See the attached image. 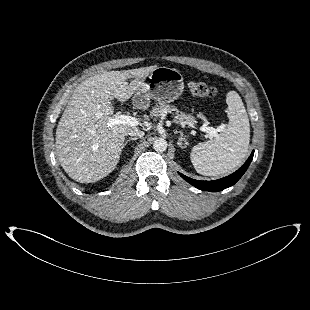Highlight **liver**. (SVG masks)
<instances>
[{"label": "liver", "instance_id": "1", "mask_svg": "<svg viewBox=\"0 0 310 310\" xmlns=\"http://www.w3.org/2000/svg\"><path fill=\"white\" fill-rule=\"evenodd\" d=\"M156 66L105 71L74 90L56 129V154L64 171L77 182L92 183L117 166L127 131L135 126H108L112 100L127 101ZM135 78L130 84L126 81Z\"/></svg>", "mask_w": 310, "mask_h": 310}]
</instances>
